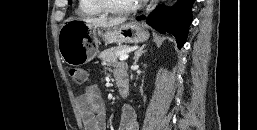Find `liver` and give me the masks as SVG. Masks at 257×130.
Segmentation results:
<instances>
[{"instance_id":"6515ba94","label":"liver","mask_w":257,"mask_h":130,"mask_svg":"<svg viewBox=\"0 0 257 130\" xmlns=\"http://www.w3.org/2000/svg\"><path fill=\"white\" fill-rule=\"evenodd\" d=\"M126 20H127L126 18L108 19L106 17L83 19V21L86 22L91 27H102V28L115 27L122 24Z\"/></svg>"}]
</instances>
